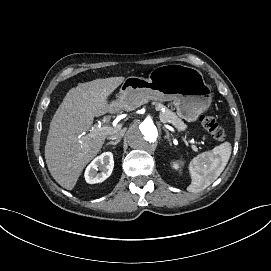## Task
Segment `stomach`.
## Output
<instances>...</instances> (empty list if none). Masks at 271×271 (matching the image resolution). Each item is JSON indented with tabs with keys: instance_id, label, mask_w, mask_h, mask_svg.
I'll list each match as a JSON object with an SVG mask.
<instances>
[{
	"instance_id": "1",
	"label": "stomach",
	"mask_w": 271,
	"mask_h": 271,
	"mask_svg": "<svg viewBox=\"0 0 271 271\" xmlns=\"http://www.w3.org/2000/svg\"><path fill=\"white\" fill-rule=\"evenodd\" d=\"M173 101L177 115L197 122L212 106V87L196 69L181 64L163 65L153 69L148 78L129 76L121 84L115 111H128L149 100Z\"/></svg>"
}]
</instances>
